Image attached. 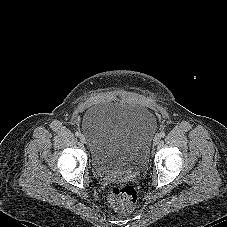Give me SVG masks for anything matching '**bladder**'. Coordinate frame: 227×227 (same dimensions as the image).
I'll return each mask as SVG.
<instances>
[{
	"label": "bladder",
	"instance_id": "31cf9c89",
	"mask_svg": "<svg viewBox=\"0 0 227 227\" xmlns=\"http://www.w3.org/2000/svg\"><path fill=\"white\" fill-rule=\"evenodd\" d=\"M157 127L148 109L127 102H104L83 116L82 130L97 174H121L146 167Z\"/></svg>",
	"mask_w": 227,
	"mask_h": 227
}]
</instances>
